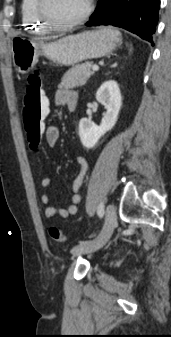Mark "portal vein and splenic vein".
Masks as SVG:
<instances>
[{
  "mask_svg": "<svg viewBox=\"0 0 171 337\" xmlns=\"http://www.w3.org/2000/svg\"><path fill=\"white\" fill-rule=\"evenodd\" d=\"M98 69H99V67H98L97 65H93V66H92V70H93V71H97Z\"/></svg>",
  "mask_w": 171,
  "mask_h": 337,
  "instance_id": "18ae733b",
  "label": "portal vein and splenic vein"
}]
</instances>
